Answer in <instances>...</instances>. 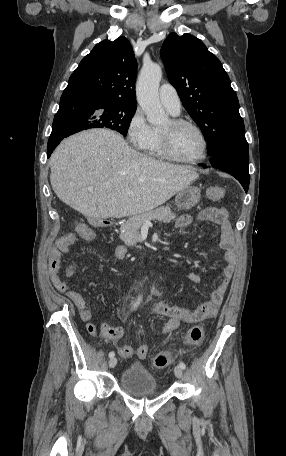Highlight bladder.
<instances>
[{
  "mask_svg": "<svg viewBox=\"0 0 286 456\" xmlns=\"http://www.w3.org/2000/svg\"><path fill=\"white\" fill-rule=\"evenodd\" d=\"M120 386L136 397L155 395L160 392L155 377L139 363H134L123 371Z\"/></svg>",
  "mask_w": 286,
  "mask_h": 456,
  "instance_id": "31cf9c89",
  "label": "bladder"
}]
</instances>
